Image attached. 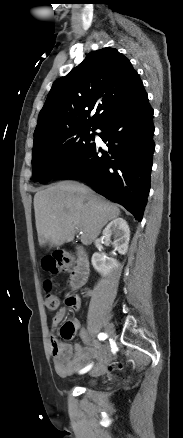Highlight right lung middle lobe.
Returning <instances> with one entry per match:
<instances>
[{
    "instance_id": "dd1d6c3e",
    "label": "right lung middle lobe",
    "mask_w": 183,
    "mask_h": 438,
    "mask_svg": "<svg viewBox=\"0 0 183 438\" xmlns=\"http://www.w3.org/2000/svg\"><path fill=\"white\" fill-rule=\"evenodd\" d=\"M97 127H78L53 133L34 140L32 151V177L46 183L64 169L94 139Z\"/></svg>"
}]
</instances>
